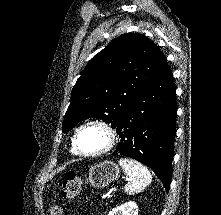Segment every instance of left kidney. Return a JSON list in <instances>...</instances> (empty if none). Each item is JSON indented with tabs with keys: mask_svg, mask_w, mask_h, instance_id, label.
Listing matches in <instances>:
<instances>
[{
	"mask_svg": "<svg viewBox=\"0 0 221 215\" xmlns=\"http://www.w3.org/2000/svg\"><path fill=\"white\" fill-rule=\"evenodd\" d=\"M108 215H138V206L135 202L129 201L112 209Z\"/></svg>",
	"mask_w": 221,
	"mask_h": 215,
	"instance_id": "5707ae66",
	"label": "left kidney"
}]
</instances>
